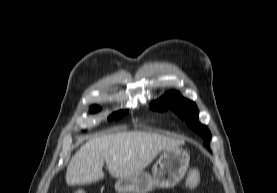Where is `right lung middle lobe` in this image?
Here are the masks:
<instances>
[{
	"instance_id": "dd1d6c3e",
	"label": "right lung middle lobe",
	"mask_w": 277,
	"mask_h": 193,
	"mask_svg": "<svg viewBox=\"0 0 277 193\" xmlns=\"http://www.w3.org/2000/svg\"><path fill=\"white\" fill-rule=\"evenodd\" d=\"M99 110V107H97V106H92L91 108H90V111L92 112V113H95V112H97ZM127 113V110H125V111H123V110H121V111H118V112H115V113H113L112 115H110L109 117H108V119L109 120H112V119H115V120H118L120 117H122L124 114H126Z\"/></svg>"
}]
</instances>
